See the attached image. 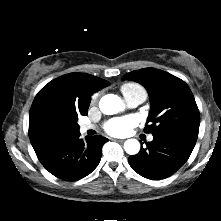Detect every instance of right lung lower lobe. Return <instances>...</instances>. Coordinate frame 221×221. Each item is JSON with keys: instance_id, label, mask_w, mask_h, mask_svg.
<instances>
[{"instance_id": "98d812e1", "label": "right lung lower lobe", "mask_w": 221, "mask_h": 221, "mask_svg": "<svg viewBox=\"0 0 221 221\" xmlns=\"http://www.w3.org/2000/svg\"><path fill=\"white\" fill-rule=\"evenodd\" d=\"M108 141L102 136H86L80 133L67 137L56 145L46 156L39 159L54 176L76 181L90 174L99 164L102 146Z\"/></svg>"}]
</instances>
